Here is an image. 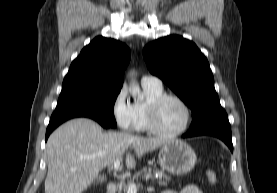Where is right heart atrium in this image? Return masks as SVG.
Segmentation results:
<instances>
[{"label":"right heart atrium","instance_id":"obj_1","mask_svg":"<svg viewBox=\"0 0 277 193\" xmlns=\"http://www.w3.org/2000/svg\"><path fill=\"white\" fill-rule=\"evenodd\" d=\"M111 112L117 126L126 131L135 129V114L133 105L129 102L127 92L121 88L115 95Z\"/></svg>","mask_w":277,"mask_h":193}]
</instances>
